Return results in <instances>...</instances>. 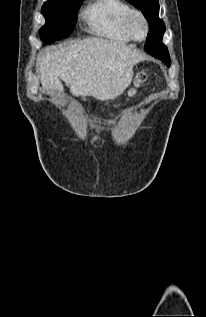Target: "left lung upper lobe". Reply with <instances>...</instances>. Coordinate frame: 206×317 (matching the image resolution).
Listing matches in <instances>:
<instances>
[{"label": "left lung upper lobe", "instance_id": "obj_1", "mask_svg": "<svg viewBox=\"0 0 206 317\" xmlns=\"http://www.w3.org/2000/svg\"><path fill=\"white\" fill-rule=\"evenodd\" d=\"M136 8L140 9L145 18L149 21L150 31L147 36L145 49L148 52L146 45L153 44L155 41H161L165 32L164 22L159 18V3L158 0H126ZM163 58H160L167 66H170V58L168 51H163Z\"/></svg>", "mask_w": 206, "mask_h": 317}]
</instances>
